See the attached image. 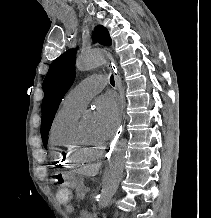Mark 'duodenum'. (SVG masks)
<instances>
[{
  "label": "duodenum",
  "instance_id": "duodenum-1",
  "mask_svg": "<svg viewBox=\"0 0 211 218\" xmlns=\"http://www.w3.org/2000/svg\"><path fill=\"white\" fill-rule=\"evenodd\" d=\"M80 217L81 218H93L92 213L88 210H81Z\"/></svg>",
  "mask_w": 211,
  "mask_h": 218
}]
</instances>
